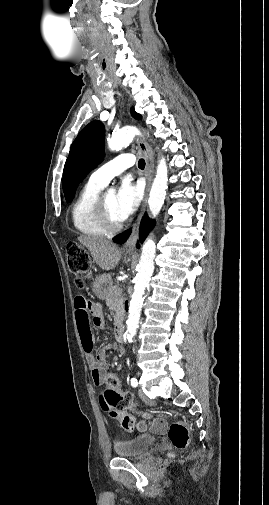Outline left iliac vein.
Instances as JSON below:
<instances>
[{"instance_id": "4c4485c4", "label": "left iliac vein", "mask_w": 269, "mask_h": 505, "mask_svg": "<svg viewBox=\"0 0 269 505\" xmlns=\"http://www.w3.org/2000/svg\"><path fill=\"white\" fill-rule=\"evenodd\" d=\"M138 393H139V396L145 401L147 402V407L149 409H154L156 407V402L154 400H149L147 398V396L144 394L142 388L140 387L139 390H138Z\"/></svg>"}]
</instances>
